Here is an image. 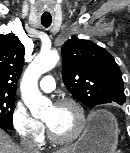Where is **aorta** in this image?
<instances>
[{
	"label": "aorta",
	"mask_w": 130,
	"mask_h": 153,
	"mask_svg": "<svg viewBox=\"0 0 130 153\" xmlns=\"http://www.w3.org/2000/svg\"><path fill=\"white\" fill-rule=\"evenodd\" d=\"M58 61L59 55L56 52L41 53L24 72L20 85L21 95L33 116L40 115L51 105V101L40 93L38 79L53 69Z\"/></svg>",
	"instance_id": "aorta-1"
}]
</instances>
